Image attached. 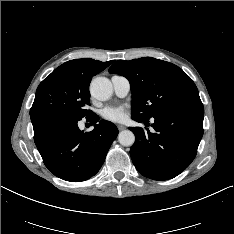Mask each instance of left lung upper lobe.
Returning a JSON list of instances; mask_svg holds the SVG:
<instances>
[{
    "instance_id": "left-lung-upper-lobe-1",
    "label": "left lung upper lobe",
    "mask_w": 234,
    "mask_h": 234,
    "mask_svg": "<svg viewBox=\"0 0 234 234\" xmlns=\"http://www.w3.org/2000/svg\"><path fill=\"white\" fill-rule=\"evenodd\" d=\"M110 73L126 77L131 86V117L150 119L173 108L201 101L196 85L178 66L152 57L118 60Z\"/></svg>"
}]
</instances>
